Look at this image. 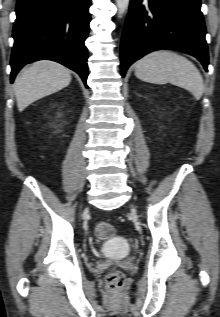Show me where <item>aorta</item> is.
<instances>
[{"mask_svg":"<svg viewBox=\"0 0 220 317\" xmlns=\"http://www.w3.org/2000/svg\"><path fill=\"white\" fill-rule=\"evenodd\" d=\"M130 0H116V4L118 7V16L122 17V15L128 9Z\"/></svg>","mask_w":220,"mask_h":317,"instance_id":"obj_1","label":"aorta"}]
</instances>
